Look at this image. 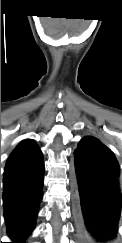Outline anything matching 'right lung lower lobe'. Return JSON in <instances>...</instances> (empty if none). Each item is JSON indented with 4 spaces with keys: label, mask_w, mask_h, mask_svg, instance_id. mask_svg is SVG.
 <instances>
[{
    "label": "right lung lower lobe",
    "mask_w": 122,
    "mask_h": 243,
    "mask_svg": "<svg viewBox=\"0 0 122 243\" xmlns=\"http://www.w3.org/2000/svg\"><path fill=\"white\" fill-rule=\"evenodd\" d=\"M43 174L44 165L4 181V217L11 243H24L35 227Z\"/></svg>",
    "instance_id": "1"
}]
</instances>
